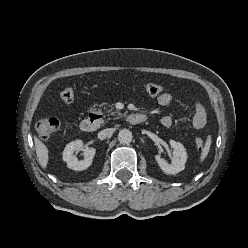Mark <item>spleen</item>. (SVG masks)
I'll use <instances>...</instances> for the list:
<instances>
[{"label":"spleen","mask_w":248,"mask_h":248,"mask_svg":"<svg viewBox=\"0 0 248 248\" xmlns=\"http://www.w3.org/2000/svg\"><path fill=\"white\" fill-rule=\"evenodd\" d=\"M211 145V137L209 136L207 138L206 144L204 146V149L202 150L201 156H200V162H203L205 158L207 157Z\"/></svg>","instance_id":"obj_1"}]
</instances>
